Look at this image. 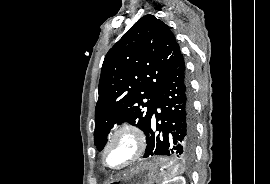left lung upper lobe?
<instances>
[{
	"instance_id": "1",
	"label": "left lung upper lobe",
	"mask_w": 270,
	"mask_h": 184,
	"mask_svg": "<svg viewBox=\"0 0 270 184\" xmlns=\"http://www.w3.org/2000/svg\"><path fill=\"white\" fill-rule=\"evenodd\" d=\"M180 55L170 28L150 14L140 18L108 51L95 109L98 150L103 149L116 123L129 122L146 132L159 89Z\"/></svg>"
}]
</instances>
